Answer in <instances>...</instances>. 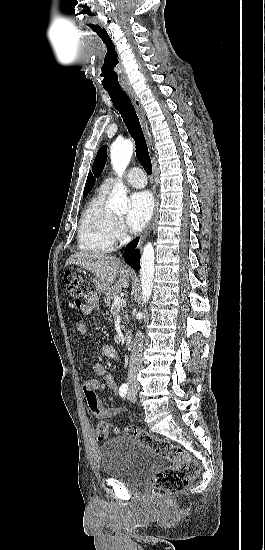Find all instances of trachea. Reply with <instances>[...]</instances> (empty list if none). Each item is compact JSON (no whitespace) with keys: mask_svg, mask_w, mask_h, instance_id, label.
Segmentation results:
<instances>
[{"mask_svg":"<svg viewBox=\"0 0 265 550\" xmlns=\"http://www.w3.org/2000/svg\"><path fill=\"white\" fill-rule=\"evenodd\" d=\"M114 107L121 114L123 121L135 141L136 156L141 166L148 175L152 173V164L148 152V147L142 132L139 118L130 98L123 91H107Z\"/></svg>","mask_w":265,"mask_h":550,"instance_id":"3493384b","label":"trachea"}]
</instances>
